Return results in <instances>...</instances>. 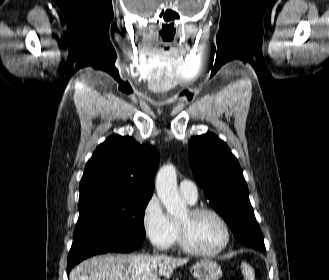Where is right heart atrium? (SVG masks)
Here are the masks:
<instances>
[{"mask_svg":"<svg viewBox=\"0 0 329 280\" xmlns=\"http://www.w3.org/2000/svg\"><path fill=\"white\" fill-rule=\"evenodd\" d=\"M147 239L159 249H169L176 239L174 222L165 213L158 197L152 196L145 204L141 217Z\"/></svg>","mask_w":329,"mask_h":280,"instance_id":"1","label":"right heart atrium"}]
</instances>
